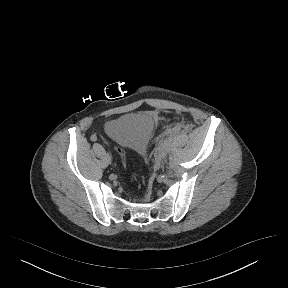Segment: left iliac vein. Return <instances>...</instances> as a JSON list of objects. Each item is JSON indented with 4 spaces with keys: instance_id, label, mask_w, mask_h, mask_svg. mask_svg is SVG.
<instances>
[{
    "instance_id": "left-iliac-vein-1",
    "label": "left iliac vein",
    "mask_w": 288,
    "mask_h": 288,
    "mask_svg": "<svg viewBox=\"0 0 288 288\" xmlns=\"http://www.w3.org/2000/svg\"><path fill=\"white\" fill-rule=\"evenodd\" d=\"M165 158H166V153L162 152L161 156H160V159L163 161V160H165Z\"/></svg>"
}]
</instances>
